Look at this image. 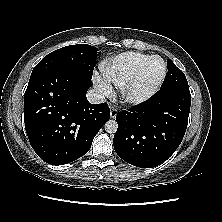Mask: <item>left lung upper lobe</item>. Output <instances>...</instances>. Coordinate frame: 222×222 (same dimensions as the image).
<instances>
[{"label":"left lung upper lobe","instance_id":"5c2ea615","mask_svg":"<svg viewBox=\"0 0 222 222\" xmlns=\"http://www.w3.org/2000/svg\"><path fill=\"white\" fill-rule=\"evenodd\" d=\"M167 66H168V73L163 88H168L173 86L188 87V82L184 73L179 68H177L170 59L167 60Z\"/></svg>","mask_w":222,"mask_h":222}]
</instances>
